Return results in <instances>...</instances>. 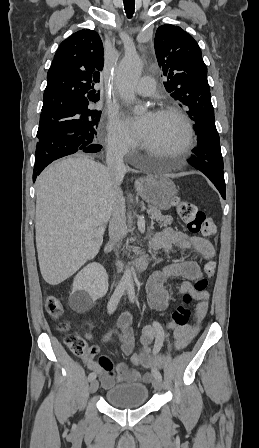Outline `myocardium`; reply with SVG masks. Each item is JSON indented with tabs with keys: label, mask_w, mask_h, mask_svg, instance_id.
Returning a JSON list of instances; mask_svg holds the SVG:
<instances>
[{
	"label": "myocardium",
	"mask_w": 259,
	"mask_h": 448,
	"mask_svg": "<svg viewBox=\"0 0 259 448\" xmlns=\"http://www.w3.org/2000/svg\"><path fill=\"white\" fill-rule=\"evenodd\" d=\"M155 114L156 115L172 114L176 116L182 123L184 128L183 137L176 145H174L172 148L169 149L171 151V155L179 158L182 163V161L187 156L189 146L193 139V127L189 118L180 107L171 103L160 105L157 108ZM139 145L142 149L150 150L146 145H143L141 143Z\"/></svg>",
	"instance_id": "f54148a6"
}]
</instances>
